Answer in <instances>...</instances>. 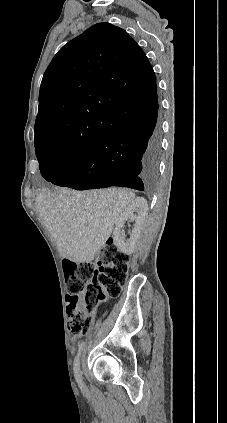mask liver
<instances>
[{
    "label": "liver",
    "mask_w": 227,
    "mask_h": 423,
    "mask_svg": "<svg viewBox=\"0 0 227 423\" xmlns=\"http://www.w3.org/2000/svg\"><path fill=\"white\" fill-rule=\"evenodd\" d=\"M129 190H46L36 198L44 225L54 237L62 257L92 261L110 237L117 217L134 200Z\"/></svg>",
    "instance_id": "obj_1"
}]
</instances>
